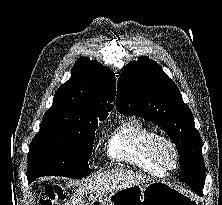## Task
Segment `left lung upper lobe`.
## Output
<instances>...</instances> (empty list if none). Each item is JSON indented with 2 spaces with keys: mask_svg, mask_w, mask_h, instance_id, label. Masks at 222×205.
Returning <instances> with one entry per match:
<instances>
[{
  "mask_svg": "<svg viewBox=\"0 0 222 205\" xmlns=\"http://www.w3.org/2000/svg\"><path fill=\"white\" fill-rule=\"evenodd\" d=\"M116 107L121 114L141 116L166 131L176 144L180 158H192L197 165L192 173L181 170L180 181L189 179L204 186L202 141L193 115L176 84L159 64L147 57L129 63L118 80Z\"/></svg>",
  "mask_w": 222,
  "mask_h": 205,
  "instance_id": "1",
  "label": "left lung upper lobe"
}]
</instances>
